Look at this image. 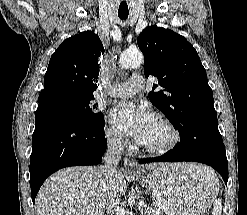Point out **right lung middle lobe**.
I'll list each match as a JSON object with an SVG mask.
<instances>
[{
  "label": "right lung middle lobe",
  "mask_w": 247,
  "mask_h": 215,
  "mask_svg": "<svg viewBox=\"0 0 247 215\" xmlns=\"http://www.w3.org/2000/svg\"><path fill=\"white\" fill-rule=\"evenodd\" d=\"M92 94H84L68 88L42 90L38 108L57 111L91 125L104 123L103 114L96 112Z\"/></svg>",
  "instance_id": "right-lung-middle-lobe-1"
}]
</instances>
